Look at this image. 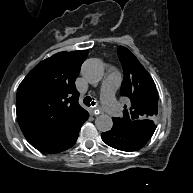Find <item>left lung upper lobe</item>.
Instances as JSON below:
<instances>
[{
    "instance_id": "1",
    "label": "left lung upper lobe",
    "mask_w": 193,
    "mask_h": 193,
    "mask_svg": "<svg viewBox=\"0 0 193 193\" xmlns=\"http://www.w3.org/2000/svg\"><path fill=\"white\" fill-rule=\"evenodd\" d=\"M118 56L124 72L120 94L128 97L131 104L127 108L125 106L123 117L113 118V122L120 124L154 123L158 110V92L153 79L127 48L120 46Z\"/></svg>"
}]
</instances>
